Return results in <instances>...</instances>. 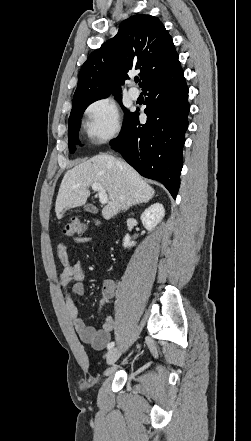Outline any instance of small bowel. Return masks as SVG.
<instances>
[{
  "label": "small bowel",
  "mask_w": 251,
  "mask_h": 441,
  "mask_svg": "<svg viewBox=\"0 0 251 441\" xmlns=\"http://www.w3.org/2000/svg\"><path fill=\"white\" fill-rule=\"evenodd\" d=\"M74 241L78 244H87L90 242V239L77 237ZM57 256L62 265V271L58 276V285L64 292L66 310L73 327L82 342L91 345L95 350H102L106 347L110 341L111 334L116 329V320L111 315L106 316L100 329L89 326L83 321L79 316L78 308L72 295L81 297L85 294L84 279L87 275V269L81 261H77L74 264L71 263L67 248L64 244L57 246ZM116 289L117 284L114 280L107 279L103 281L101 286L102 298L98 311L99 315H101L105 306L109 304L111 299L115 296Z\"/></svg>",
  "instance_id": "1"
}]
</instances>
